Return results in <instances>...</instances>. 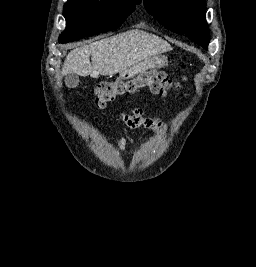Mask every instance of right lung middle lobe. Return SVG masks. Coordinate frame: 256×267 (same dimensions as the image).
I'll return each instance as SVG.
<instances>
[{"mask_svg": "<svg viewBox=\"0 0 256 267\" xmlns=\"http://www.w3.org/2000/svg\"><path fill=\"white\" fill-rule=\"evenodd\" d=\"M139 3L133 0H68L64 5L66 29L59 42L115 30Z\"/></svg>", "mask_w": 256, "mask_h": 267, "instance_id": "right-lung-middle-lobe-1", "label": "right lung middle lobe"}]
</instances>
